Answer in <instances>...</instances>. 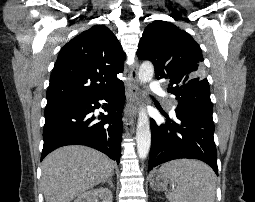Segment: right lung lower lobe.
I'll use <instances>...</instances> for the list:
<instances>
[{
	"mask_svg": "<svg viewBox=\"0 0 255 202\" xmlns=\"http://www.w3.org/2000/svg\"><path fill=\"white\" fill-rule=\"evenodd\" d=\"M124 100L122 82L102 93L46 106L41 160L61 146L77 144L95 148L119 163ZM99 107L108 114H101V122L95 123L92 112Z\"/></svg>",
	"mask_w": 255,
	"mask_h": 202,
	"instance_id": "obj_1",
	"label": "right lung lower lobe"
}]
</instances>
